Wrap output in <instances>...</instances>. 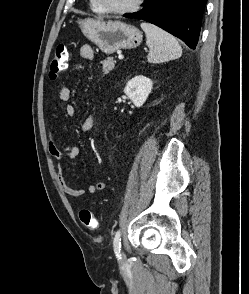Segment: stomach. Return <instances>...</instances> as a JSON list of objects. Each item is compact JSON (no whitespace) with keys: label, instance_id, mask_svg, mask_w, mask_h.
Wrapping results in <instances>:
<instances>
[{"label":"stomach","instance_id":"stomach-1","mask_svg":"<svg viewBox=\"0 0 249 294\" xmlns=\"http://www.w3.org/2000/svg\"><path fill=\"white\" fill-rule=\"evenodd\" d=\"M83 34L106 54L118 49L135 48L142 41L139 29L121 21H108L87 18L80 21Z\"/></svg>","mask_w":249,"mask_h":294}]
</instances>
